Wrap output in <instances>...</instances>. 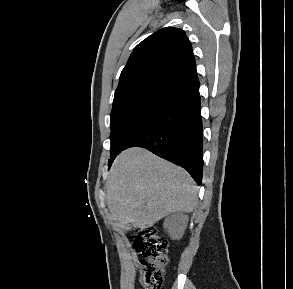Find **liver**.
I'll return each instance as SVG.
<instances>
[{"label":"liver","mask_w":293,"mask_h":289,"mask_svg":"<svg viewBox=\"0 0 293 289\" xmlns=\"http://www.w3.org/2000/svg\"><path fill=\"white\" fill-rule=\"evenodd\" d=\"M107 205L122 229H144L176 211L191 212L198 187L181 167L143 148L115 159L106 183Z\"/></svg>","instance_id":"obj_1"}]
</instances>
